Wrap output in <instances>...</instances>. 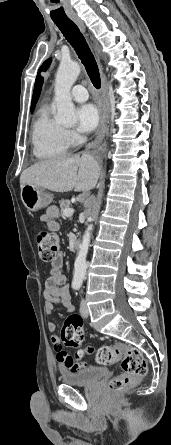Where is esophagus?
Segmentation results:
<instances>
[{"instance_id":"1","label":"esophagus","mask_w":171,"mask_h":445,"mask_svg":"<svg viewBox=\"0 0 171 445\" xmlns=\"http://www.w3.org/2000/svg\"><path fill=\"white\" fill-rule=\"evenodd\" d=\"M72 20L79 27V29L81 31L85 32V25H84L83 21L81 20V18L76 16V17H72ZM100 70H101L102 99H103V104H104V112L101 115L100 125H99V129H98V133H97V141L99 143L104 139L106 131H107V119H106L105 110H106V105L108 102L106 77H105V74L101 67H100Z\"/></svg>"}]
</instances>
